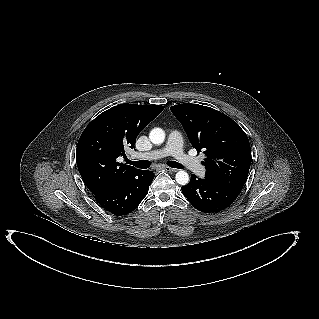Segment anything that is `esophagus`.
Instances as JSON below:
<instances>
[{"label":"esophagus","instance_id":"1","mask_svg":"<svg viewBox=\"0 0 319 319\" xmlns=\"http://www.w3.org/2000/svg\"><path fill=\"white\" fill-rule=\"evenodd\" d=\"M164 170H165V171H168V172H177V169L171 168V167H169V166H165V167H164Z\"/></svg>","mask_w":319,"mask_h":319}]
</instances>
